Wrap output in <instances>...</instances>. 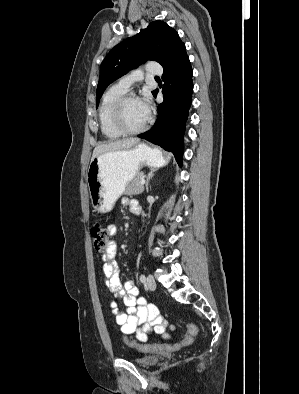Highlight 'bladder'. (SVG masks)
Returning <instances> with one entry per match:
<instances>
[{"label": "bladder", "instance_id": "obj_1", "mask_svg": "<svg viewBox=\"0 0 299 394\" xmlns=\"http://www.w3.org/2000/svg\"><path fill=\"white\" fill-rule=\"evenodd\" d=\"M132 361L142 367H151L158 363L159 357L156 355H139L134 357Z\"/></svg>", "mask_w": 299, "mask_h": 394}]
</instances>
